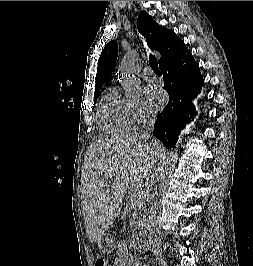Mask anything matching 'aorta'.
I'll return each instance as SVG.
<instances>
[{
	"label": "aorta",
	"mask_w": 253,
	"mask_h": 266,
	"mask_svg": "<svg viewBox=\"0 0 253 266\" xmlns=\"http://www.w3.org/2000/svg\"><path fill=\"white\" fill-rule=\"evenodd\" d=\"M137 53L131 51L126 54L119 67L121 84L127 96H135L139 93L140 82L136 77Z\"/></svg>",
	"instance_id": "aorta-1"
}]
</instances>
